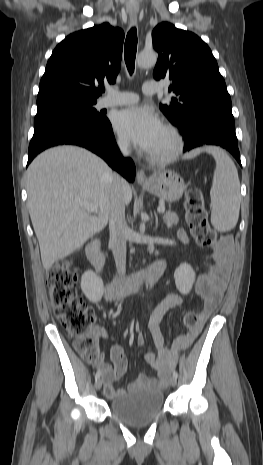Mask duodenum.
<instances>
[{
    "label": "duodenum",
    "instance_id": "duodenum-1",
    "mask_svg": "<svg viewBox=\"0 0 263 465\" xmlns=\"http://www.w3.org/2000/svg\"><path fill=\"white\" fill-rule=\"evenodd\" d=\"M86 255L97 273L102 275L105 268V256L98 241L91 242L86 247ZM165 269L163 259L152 263L146 270L132 275L117 277L106 286V295L111 298H121L131 291L156 282Z\"/></svg>",
    "mask_w": 263,
    "mask_h": 465
}]
</instances>
